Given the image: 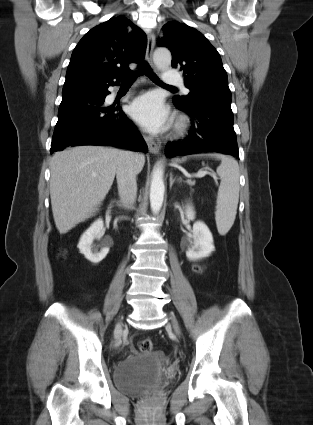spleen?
<instances>
[{"label":"spleen","instance_id":"obj_1","mask_svg":"<svg viewBox=\"0 0 313 425\" xmlns=\"http://www.w3.org/2000/svg\"><path fill=\"white\" fill-rule=\"evenodd\" d=\"M221 160L217 174L221 178L218 189L215 220L220 235H225L234 224L239 201V165L228 155L212 154Z\"/></svg>","mask_w":313,"mask_h":425}]
</instances>
